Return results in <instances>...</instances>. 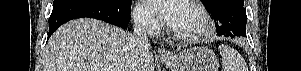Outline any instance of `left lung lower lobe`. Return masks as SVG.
<instances>
[{"instance_id": "obj_1", "label": "left lung lower lobe", "mask_w": 301, "mask_h": 71, "mask_svg": "<svg viewBox=\"0 0 301 71\" xmlns=\"http://www.w3.org/2000/svg\"><path fill=\"white\" fill-rule=\"evenodd\" d=\"M212 18L218 36H246V11L242 5L229 3L220 7Z\"/></svg>"}]
</instances>
